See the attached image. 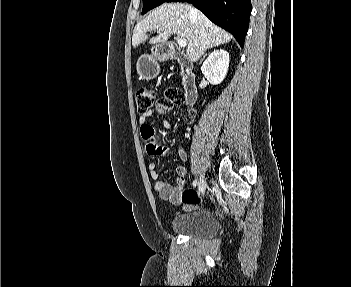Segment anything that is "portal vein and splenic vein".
<instances>
[{"instance_id":"obj_1","label":"portal vein and splenic vein","mask_w":351,"mask_h":287,"mask_svg":"<svg viewBox=\"0 0 351 287\" xmlns=\"http://www.w3.org/2000/svg\"><path fill=\"white\" fill-rule=\"evenodd\" d=\"M176 39H177V43H178L179 47L184 48V47L187 46V40L186 39L181 38L179 36H177Z\"/></svg>"}]
</instances>
